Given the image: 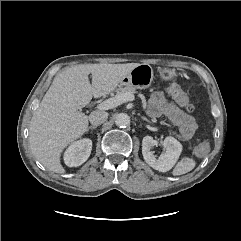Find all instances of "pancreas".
<instances>
[{
    "label": "pancreas",
    "instance_id": "1",
    "mask_svg": "<svg viewBox=\"0 0 241 241\" xmlns=\"http://www.w3.org/2000/svg\"><path fill=\"white\" fill-rule=\"evenodd\" d=\"M125 92L135 93V92H136V88H135L134 86H132V85H127V86H125V87H120V88L117 89L116 95L121 94V93H125ZM174 134H175L179 139H182V137H181L180 135L176 134L175 132H174Z\"/></svg>",
    "mask_w": 241,
    "mask_h": 241
}]
</instances>
